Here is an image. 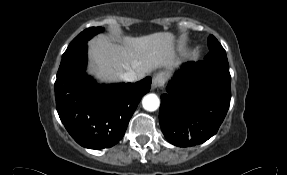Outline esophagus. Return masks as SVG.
<instances>
[{"instance_id":"34e87169","label":"esophagus","mask_w":287,"mask_h":175,"mask_svg":"<svg viewBox=\"0 0 287 175\" xmlns=\"http://www.w3.org/2000/svg\"><path fill=\"white\" fill-rule=\"evenodd\" d=\"M165 83V75L163 73H157L152 78V89H157L163 86Z\"/></svg>"}]
</instances>
